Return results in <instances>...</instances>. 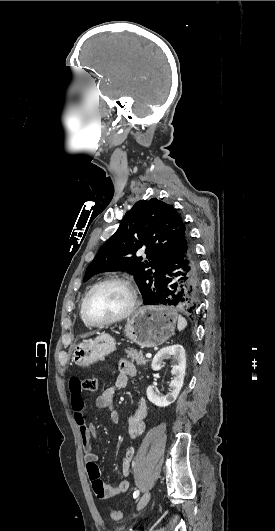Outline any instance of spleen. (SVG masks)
I'll use <instances>...</instances> for the list:
<instances>
[{"label":"spleen","mask_w":275,"mask_h":531,"mask_svg":"<svg viewBox=\"0 0 275 531\" xmlns=\"http://www.w3.org/2000/svg\"><path fill=\"white\" fill-rule=\"evenodd\" d=\"M188 323L186 321V319H184V317H182V315H178V323H177V329L178 331H184V329H186Z\"/></svg>","instance_id":"1"}]
</instances>
